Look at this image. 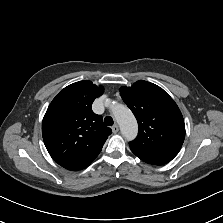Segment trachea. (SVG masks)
<instances>
[{"label": "trachea", "mask_w": 223, "mask_h": 223, "mask_svg": "<svg viewBox=\"0 0 223 223\" xmlns=\"http://www.w3.org/2000/svg\"><path fill=\"white\" fill-rule=\"evenodd\" d=\"M104 123H105V125H107V126H112L113 123H114V121H113L112 117H110V116H106V117L104 118Z\"/></svg>", "instance_id": "obj_1"}]
</instances>
